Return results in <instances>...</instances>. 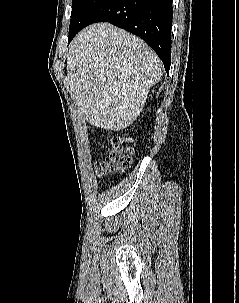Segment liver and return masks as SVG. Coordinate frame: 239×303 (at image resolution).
Segmentation results:
<instances>
[{
	"label": "liver",
	"instance_id": "obj_1",
	"mask_svg": "<svg viewBox=\"0 0 239 303\" xmlns=\"http://www.w3.org/2000/svg\"><path fill=\"white\" fill-rule=\"evenodd\" d=\"M66 68L71 97L85 120L114 131L136 120L163 75L159 57L143 40L109 23L77 34Z\"/></svg>",
	"mask_w": 239,
	"mask_h": 303
}]
</instances>
